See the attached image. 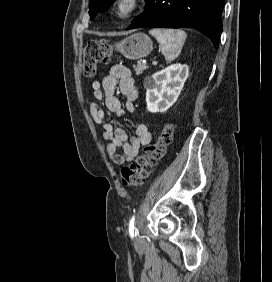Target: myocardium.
<instances>
[{"instance_id": "obj_1", "label": "myocardium", "mask_w": 272, "mask_h": 282, "mask_svg": "<svg viewBox=\"0 0 272 282\" xmlns=\"http://www.w3.org/2000/svg\"><path fill=\"white\" fill-rule=\"evenodd\" d=\"M141 8V0H117L114 9L122 19L133 17Z\"/></svg>"}]
</instances>
